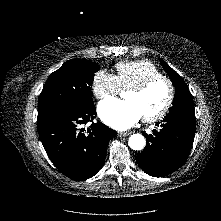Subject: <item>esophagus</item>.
I'll return each instance as SVG.
<instances>
[{"instance_id": "1", "label": "esophagus", "mask_w": 221, "mask_h": 221, "mask_svg": "<svg viewBox=\"0 0 221 221\" xmlns=\"http://www.w3.org/2000/svg\"><path fill=\"white\" fill-rule=\"evenodd\" d=\"M130 133L129 132H118V136L119 137H126L128 136Z\"/></svg>"}]
</instances>
